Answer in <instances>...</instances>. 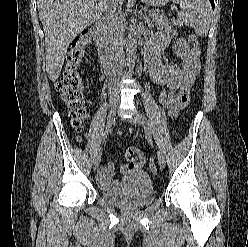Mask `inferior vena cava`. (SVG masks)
I'll list each match as a JSON object with an SVG mask.
<instances>
[{
	"label": "inferior vena cava",
	"instance_id": "1",
	"mask_svg": "<svg viewBox=\"0 0 248 247\" xmlns=\"http://www.w3.org/2000/svg\"><path fill=\"white\" fill-rule=\"evenodd\" d=\"M104 21L112 38V59L115 61L117 72L121 70L123 55V17L121 12V0H107L104 7Z\"/></svg>",
	"mask_w": 248,
	"mask_h": 247
}]
</instances>
